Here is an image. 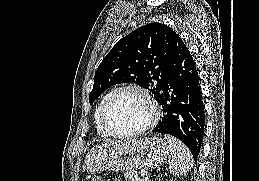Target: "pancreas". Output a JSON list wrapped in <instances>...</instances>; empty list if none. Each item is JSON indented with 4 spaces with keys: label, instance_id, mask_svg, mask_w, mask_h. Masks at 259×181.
I'll use <instances>...</instances> for the list:
<instances>
[{
    "label": "pancreas",
    "instance_id": "pancreas-1",
    "mask_svg": "<svg viewBox=\"0 0 259 181\" xmlns=\"http://www.w3.org/2000/svg\"><path fill=\"white\" fill-rule=\"evenodd\" d=\"M126 181H142L136 171H127L124 173Z\"/></svg>",
    "mask_w": 259,
    "mask_h": 181
}]
</instances>
